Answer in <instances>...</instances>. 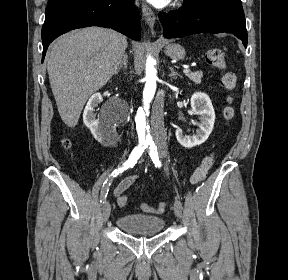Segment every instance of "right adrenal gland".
I'll return each mask as SVG.
<instances>
[{"instance_id": "1", "label": "right adrenal gland", "mask_w": 288, "mask_h": 280, "mask_svg": "<svg viewBox=\"0 0 288 280\" xmlns=\"http://www.w3.org/2000/svg\"><path fill=\"white\" fill-rule=\"evenodd\" d=\"M127 63H128V55H127V54H124V55H123V58H122V61H121L120 65H119V67L117 68L115 74H118L119 71H120L122 68H125V69H126V68H127Z\"/></svg>"}]
</instances>
